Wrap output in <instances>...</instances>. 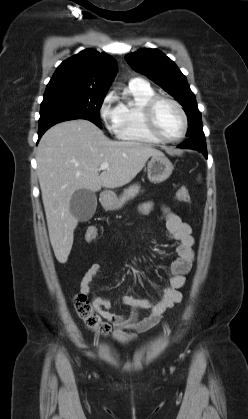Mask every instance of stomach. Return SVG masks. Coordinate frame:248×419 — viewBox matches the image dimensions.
<instances>
[{"label":"stomach","mask_w":248,"mask_h":419,"mask_svg":"<svg viewBox=\"0 0 248 419\" xmlns=\"http://www.w3.org/2000/svg\"><path fill=\"white\" fill-rule=\"evenodd\" d=\"M174 167L170 160L164 155L152 156L147 164L148 179L153 183H160L169 178ZM106 209L113 210L119 208L122 204L115 195H112L108 201H104Z\"/></svg>","instance_id":"obj_1"}]
</instances>
